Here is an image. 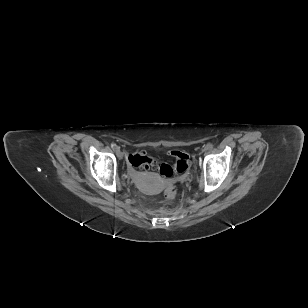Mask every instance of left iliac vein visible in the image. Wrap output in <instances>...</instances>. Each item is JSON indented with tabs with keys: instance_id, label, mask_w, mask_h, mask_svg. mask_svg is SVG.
<instances>
[{
	"instance_id": "1",
	"label": "left iliac vein",
	"mask_w": 308,
	"mask_h": 308,
	"mask_svg": "<svg viewBox=\"0 0 308 308\" xmlns=\"http://www.w3.org/2000/svg\"><path fill=\"white\" fill-rule=\"evenodd\" d=\"M208 149L205 147L202 151H207Z\"/></svg>"
}]
</instances>
